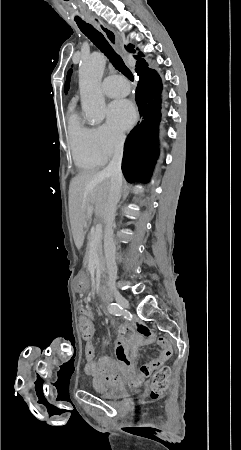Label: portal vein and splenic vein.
I'll return each instance as SVG.
<instances>
[{"label": "portal vein and splenic vein", "mask_w": 241, "mask_h": 450, "mask_svg": "<svg viewBox=\"0 0 241 450\" xmlns=\"http://www.w3.org/2000/svg\"><path fill=\"white\" fill-rule=\"evenodd\" d=\"M102 228H103L102 224H97V226H95V230L92 234L90 242H96V240H99V238H101Z\"/></svg>", "instance_id": "18ae733b"}]
</instances>
